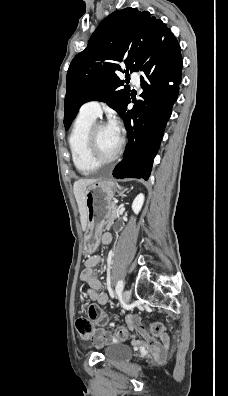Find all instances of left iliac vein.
<instances>
[{
  "label": "left iliac vein",
  "mask_w": 228,
  "mask_h": 396,
  "mask_svg": "<svg viewBox=\"0 0 228 396\" xmlns=\"http://www.w3.org/2000/svg\"><path fill=\"white\" fill-rule=\"evenodd\" d=\"M131 297V292L129 290H124L122 293V299L124 303H128Z\"/></svg>",
  "instance_id": "4c4485c4"
}]
</instances>
